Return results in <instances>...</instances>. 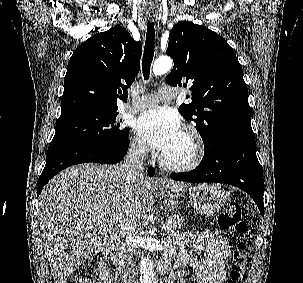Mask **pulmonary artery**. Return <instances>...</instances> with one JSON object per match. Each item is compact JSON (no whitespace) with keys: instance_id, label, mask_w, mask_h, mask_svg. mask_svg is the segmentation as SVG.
Here are the masks:
<instances>
[{"instance_id":"e3ab8cb5","label":"pulmonary artery","mask_w":303,"mask_h":283,"mask_svg":"<svg viewBox=\"0 0 303 283\" xmlns=\"http://www.w3.org/2000/svg\"><path fill=\"white\" fill-rule=\"evenodd\" d=\"M176 90L168 85L161 86L158 94H147L139 98L134 104L125 107L126 112L135 113L155 106L159 100L169 101L176 97Z\"/></svg>"}]
</instances>
